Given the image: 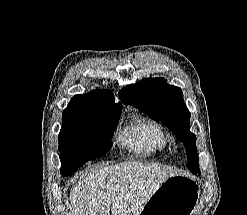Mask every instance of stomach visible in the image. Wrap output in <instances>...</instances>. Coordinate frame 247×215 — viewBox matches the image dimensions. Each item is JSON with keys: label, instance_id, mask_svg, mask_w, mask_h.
<instances>
[{"label": "stomach", "instance_id": "0dacf381", "mask_svg": "<svg viewBox=\"0 0 247 215\" xmlns=\"http://www.w3.org/2000/svg\"><path fill=\"white\" fill-rule=\"evenodd\" d=\"M200 197L198 183L184 175L167 178L143 205L139 215H194Z\"/></svg>", "mask_w": 247, "mask_h": 215}]
</instances>
